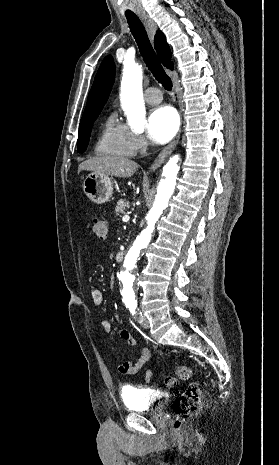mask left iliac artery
Listing matches in <instances>:
<instances>
[{"mask_svg": "<svg viewBox=\"0 0 279 465\" xmlns=\"http://www.w3.org/2000/svg\"><path fill=\"white\" fill-rule=\"evenodd\" d=\"M129 307V310L131 312L132 315H136L137 314V305L136 304H131L128 306Z\"/></svg>", "mask_w": 279, "mask_h": 465, "instance_id": "obj_1", "label": "left iliac artery"}]
</instances>
